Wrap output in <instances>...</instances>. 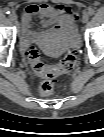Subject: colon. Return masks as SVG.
I'll return each instance as SVG.
<instances>
[{
	"instance_id": "5ec220e1",
	"label": "colon",
	"mask_w": 104,
	"mask_h": 137,
	"mask_svg": "<svg viewBox=\"0 0 104 137\" xmlns=\"http://www.w3.org/2000/svg\"><path fill=\"white\" fill-rule=\"evenodd\" d=\"M26 57L31 70L45 79L39 85V92L42 95H50L54 88L53 79L70 72L77 63L76 50L70 51L55 65L46 64L42 60L39 51L34 46H31L26 50Z\"/></svg>"
}]
</instances>
